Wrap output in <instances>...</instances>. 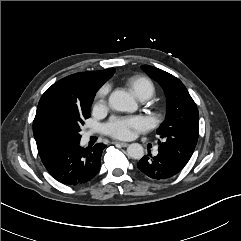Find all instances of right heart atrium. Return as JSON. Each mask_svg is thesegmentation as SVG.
Returning a JSON list of instances; mask_svg holds the SVG:
<instances>
[{"label":"right heart atrium","mask_w":241,"mask_h":241,"mask_svg":"<svg viewBox=\"0 0 241 241\" xmlns=\"http://www.w3.org/2000/svg\"><path fill=\"white\" fill-rule=\"evenodd\" d=\"M109 92V86L105 85L103 86L96 95V107L97 108H103L105 105V99Z\"/></svg>","instance_id":"d8ad5b80"}]
</instances>
